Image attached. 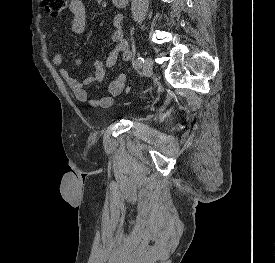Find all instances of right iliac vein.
Listing matches in <instances>:
<instances>
[{"instance_id":"obj_1","label":"right iliac vein","mask_w":275,"mask_h":263,"mask_svg":"<svg viewBox=\"0 0 275 263\" xmlns=\"http://www.w3.org/2000/svg\"><path fill=\"white\" fill-rule=\"evenodd\" d=\"M152 71V61L150 58H146L144 66H143V75L149 76Z\"/></svg>"}]
</instances>
